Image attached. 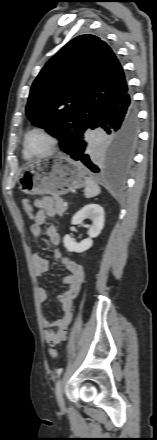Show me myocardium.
Instances as JSON below:
<instances>
[{"label": "myocardium", "mask_w": 157, "mask_h": 440, "mask_svg": "<svg viewBox=\"0 0 157 440\" xmlns=\"http://www.w3.org/2000/svg\"><path fill=\"white\" fill-rule=\"evenodd\" d=\"M34 132L42 133L49 140V149L45 153H43V154L32 155V154H30V152L28 150L27 140H28L29 135L34 133ZM58 144H59V141H58L57 136L50 129H48V128L44 127V126H35V127L31 128V129H29L25 133L24 138H23V150H24V153L27 156L42 157V156L50 155V154H52L57 149Z\"/></svg>", "instance_id": "obj_1"}]
</instances>
